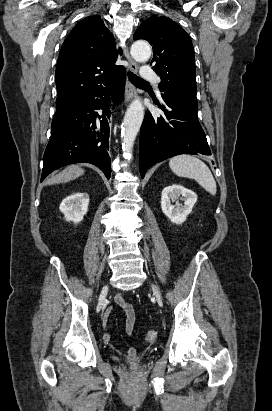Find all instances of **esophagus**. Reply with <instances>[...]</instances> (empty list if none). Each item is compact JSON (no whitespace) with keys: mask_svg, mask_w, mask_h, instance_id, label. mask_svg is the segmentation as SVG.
Here are the masks:
<instances>
[{"mask_svg":"<svg viewBox=\"0 0 272 411\" xmlns=\"http://www.w3.org/2000/svg\"><path fill=\"white\" fill-rule=\"evenodd\" d=\"M124 56L128 60L129 70L136 73L138 71L137 63L131 58L128 47L124 48ZM136 96V89L130 81H127L125 87V103H128Z\"/></svg>","mask_w":272,"mask_h":411,"instance_id":"obj_1","label":"esophagus"}]
</instances>
